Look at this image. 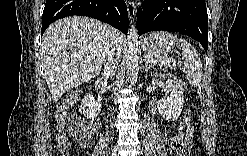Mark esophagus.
Listing matches in <instances>:
<instances>
[{
	"label": "esophagus",
	"mask_w": 247,
	"mask_h": 156,
	"mask_svg": "<svg viewBox=\"0 0 247 156\" xmlns=\"http://www.w3.org/2000/svg\"><path fill=\"white\" fill-rule=\"evenodd\" d=\"M126 5H127V10H128L129 20L132 23L135 21L136 6H135V3L133 1H127Z\"/></svg>",
	"instance_id": "1"
}]
</instances>
